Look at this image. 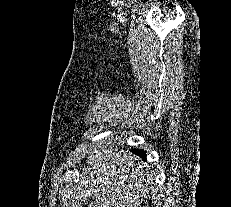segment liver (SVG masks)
I'll return each mask as SVG.
<instances>
[{"instance_id":"6515ba94","label":"liver","mask_w":231,"mask_h":207,"mask_svg":"<svg viewBox=\"0 0 231 207\" xmlns=\"http://www.w3.org/2000/svg\"><path fill=\"white\" fill-rule=\"evenodd\" d=\"M84 171L94 199L89 207H139L152 191L147 164L123 150L96 149Z\"/></svg>"}]
</instances>
